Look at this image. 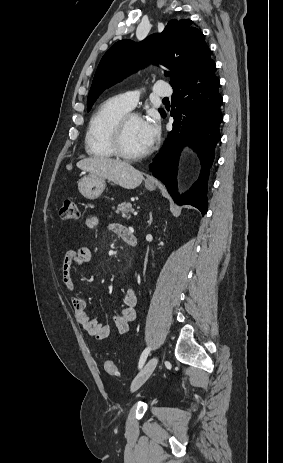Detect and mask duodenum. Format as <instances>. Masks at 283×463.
I'll list each match as a JSON object with an SVG mask.
<instances>
[{"instance_id":"duodenum-1","label":"duodenum","mask_w":283,"mask_h":463,"mask_svg":"<svg viewBox=\"0 0 283 463\" xmlns=\"http://www.w3.org/2000/svg\"><path fill=\"white\" fill-rule=\"evenodd\" d=\"M124 241L130 245V246H136L137 245V237L134 233H131V232H128L125 236H124Z\"/></svg>"}]
</instances>
